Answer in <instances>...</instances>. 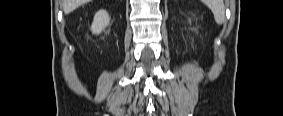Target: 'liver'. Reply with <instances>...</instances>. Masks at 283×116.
<instances>
[{"mask_svg":"<svg viewBox=\"0 0 283 116\" xmlns=\"http://www.w3.org/2000/svg\"><path fill=\"white\" fill-rule=\"evenodd\" d=\"M89 2V0H62L63 11L65 14H69L79 6Z\"/></svg>","mask_w":283,"mask_h":116,"instance_id":"1","label":"liver"}]
</instances>
